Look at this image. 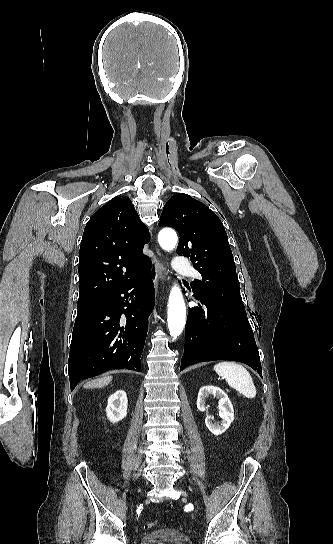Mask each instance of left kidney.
<instances>
[{"label":"left kidney","mask_w":333,"mask_h":544,"mask_svg":"<svg viewBox=\"0 0 333 544\" xmlns=\"http://www.w3.org/2000/svg\"><path fill=\"white\" fill-rule=\"evenodd\" d=\"M211 394L219 399V416L222 420L218 423H212L213 416L207 414L205 424L211 433L214 435H220L229 428L230 424L234 420V410L231 401L222 389L215 386H203L199 390L197 398V408L201 412L206 411V399Z\"/></svg>","instance_id":"5707ae66"}]
</instances>
